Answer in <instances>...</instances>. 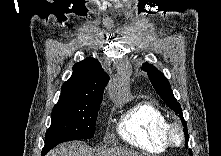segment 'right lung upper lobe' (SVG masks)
I'll return each instance as SVG.
<instances>
[{
  "label": "right lung upper lobe",
  "instance_id": "cb5924a9",
  "mask_svg": "<svg viewBox=\"0 0 221 156\" xmlns=\"http://www.w3.org/2000/svg\"><path fill=\"white\" fill-rule=\"evenodd\" d=\"M109 76L94 58H86L73 66L72 76L62 85L58 103L79 102L103 97Z\"/></svg>",
  "mask_w": 221,
  "mask_h": 156
}]
</instances>
